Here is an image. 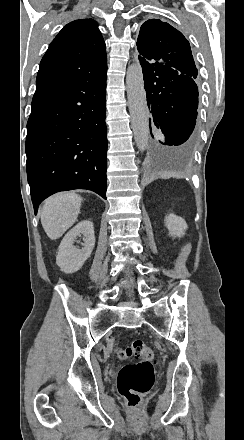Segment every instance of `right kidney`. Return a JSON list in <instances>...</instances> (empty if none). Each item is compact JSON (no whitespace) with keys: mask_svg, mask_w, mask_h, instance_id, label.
<instances>
[{"mask_svg":"<svg viewBox=\"0 0 244 440\" xmlns=\"http://www.w3.org/2000/svg\"><path fill=\"white\" fill-rule=\"evenodd\" d=\"M85 238L84 248L78 250L73 246L74 240L77 236ZM95 246V234L92 222L89 220H82L77 226H74L66 236H64L60 246L59 252L56 256V264L59 266L61 272L65 274H73L82 268L84 262L90 258L93 248Z\"/></svg>","mask_w":244,"mask_h":440,"instance_id":"ca27d5eb","label":"right kidney"}]
</instances>
